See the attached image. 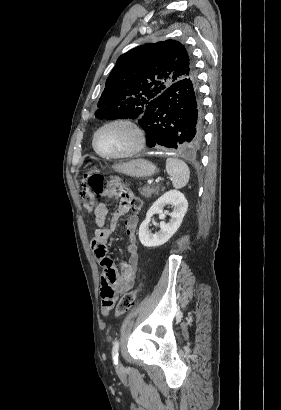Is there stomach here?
<instances>
[{
	"mask_svg": "<svg viewBox=\"0 0 281 410\" xmlns=\"http://www.w3.org/2000/svg\"><path fill=\"white\" fill-rule=\"evenodd\" d=\"M113 168L120 173L135 178L150 177L157 171V167L145 159H132L128 162L116 164Z\"/></svg>",
	"mask_w": 281,
	"mask_h": 410,
	"instance_id": "0dacf381",
	"label": "stomach"
}]
</instances>
